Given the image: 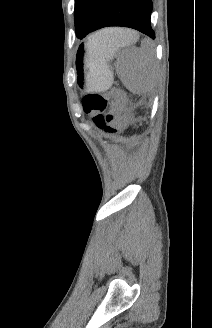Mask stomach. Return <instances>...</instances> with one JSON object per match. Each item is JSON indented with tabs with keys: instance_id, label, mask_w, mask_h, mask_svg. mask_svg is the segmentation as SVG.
<instances>
[{
	"instance_id": "obj_1",
	"label": "stomach",
	"mask_w": 212,
	"mask_h": 328,
	"mask_svg": "<svg viewBox=\"0 0 212 328\" xmlns=\"http://www.w3.org/2000/svg\"><path fill=\"white\" fill-rule=\"evenodd\" d=\"M77 60L78 82L89 92L104 91L110 87L113 74L104 56H96L85 46Z\"/></svg>"
}]
</instances>
